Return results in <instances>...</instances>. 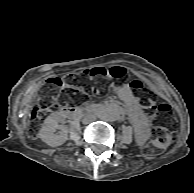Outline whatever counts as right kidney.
I'll list each match as a JSON object with an SVG mask.
<instances>
[{"label": "right kidney", "instance_id": "right-kidney-1", "mask_svg": "<svg viewBox=\"0 0 194 193\" xmlns=\"http://www.w3.org/2000/svg\"><path fill=\"white\" fill-rule=\"evenodd\" d=\"M60 122L61 119L57 114H51L45 119L40 130V138L43 142L51 147L60 146L68 139V135L64 131L60 132L59 134H55Z\"/></svg>", "mask_w": 194, "mask_h": 193}]
</instances>
